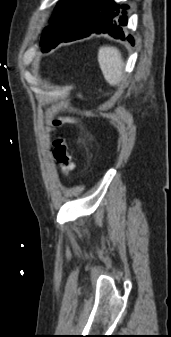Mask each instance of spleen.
Masks as SVG:
<instances>
[{"mask_svg": "<svg viewBox=\"0 0 171 337\" xmlns=\"http://www.w3.org/2000/svg\"><path fill=\"white\" fill-rule=\"evenodd\" d=\"M98 62L105 80L111 86L123 79L124 62L116 47L102 46L98 50Z\"/></svg>", "mask_w": 171, "mask_h": 337, "instance_id": "spleen-1", "label": "spleen"}]
</instances>
